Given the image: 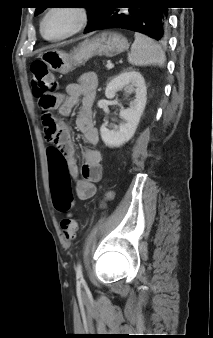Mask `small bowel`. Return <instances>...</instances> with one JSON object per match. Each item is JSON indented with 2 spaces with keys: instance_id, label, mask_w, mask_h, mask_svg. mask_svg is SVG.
I'll return each instance as SVG.
<instances>
[{
  "instance_id": "small-bowel-1",
  "label": "small bowel",
  "mask_w": 213,
  "mask_h": 338,
  "mask_svg": "<svg viewBox=\"0 0 213 338\" xmlns=\"http://www.w3.org/2000/svg\"><path fill=\"white\" fill-rule=\"evenodd\" d=\"M97 77L93 72L84 73L77 83L67 85L65 93L56 95V105L63 116H69L81 100V113L76 119V127L84 141L96 145L99 133L93 124L91 104L96 96ZM57 132L48 134L47 138L54 143L47 150L48 164L53 179L70 175L76 180V194L81 200L92 198L96 193L95 183L102 178L101 153L94 148L83 152L81 178L76 152L71 140L70 129L64 123H57ZM57 137V138H56Z\"/></svg>"
}]
</instances>
